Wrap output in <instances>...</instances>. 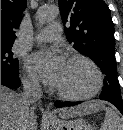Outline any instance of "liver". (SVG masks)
Instances as JSON below:
<instances>
[{
  "label": "liver",
  "mask_w": 123,
  "mask_h": 130,
  "mask_svg": "<svg viewBox=\"0 0 123 130\" xmlns=\"http://www.w3.org/2000/svg\"><path fill=\"white\" fill-rule=\"evenodd\" d=\"M100 104H83L75 108L61 109L59 114L62 118H70L90 114L94 112ZM23 110L22 95L1 85V130H20L21 116ZM36 114L34 109L30 112L31 130H37Z\"/></svg>",
  "instance_id": "1"
}]
</instances>
